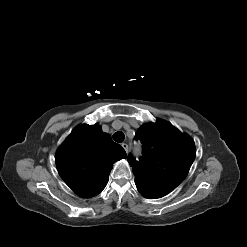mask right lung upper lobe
<instances>
[{"mask_svg":"<svg viewBox=\"0 0 247 247\" xmlns=\"http://www.w3.org/2000/svg\"><path fill=\"white\" fill-rule=\"evenodd\" d=\"M126 158L98 124L76 127L56 153L57 170L64 182L84 198L99 194L107 185L113 163Z\"/></svg>","mask_w":247,"mask_h":247,"instance_id":"right-lung-upper-lobe-1","label":"right lung upper lobe"}]
</instances>
